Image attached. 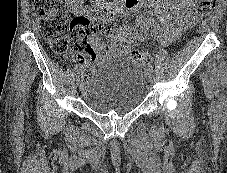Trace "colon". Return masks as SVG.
<instances>
[{
  "instance_id": "5ec220e1",
  "label": "colon",
  "mask_w": 227,
  "mask_h": 173,
  "mask_svg": "<svg viewBox=\"0 0 227 173\" xmlns=\"http://www.w3.org/2000/svg\"><path fill=\"white\" fill-rule=\"evenodd\" d=\"M215 3L216 0H199L198 11L207 16L213 11ZM32 9L42 35L59 55H65L73 47L81 54L93 56L89 35L107 30L106 26L98 21L72 19L62 10L61 0H32ZM131 57L142 64L151 62L149 55L144 52L133 51Z\"/></svg>"
}]
</instances>
